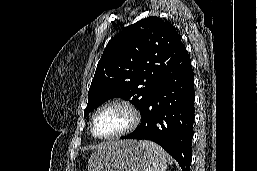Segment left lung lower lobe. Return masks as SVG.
I'll return each mask as SVG.
<instances>
[{
	"mask_svg": "<svg viewBox=\"0 0 257 171\" xmlns=\"http://www.w3.org/2000/svg\"><path fill=\"white\" fill-rule=\"evenodd\" d=\"M194 74L181 47L166 66L143 113L140 126L121 139H145L163 147L189 171L194 120Z\"/></svg>",
	"mask_w": 257,
	"mask_h": 171,
	"instance_id": "left-lung-lower-lobe-1",
	"label": "left lung lower lobe"
}]
</instances>
